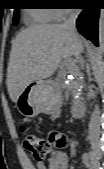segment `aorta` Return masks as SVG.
Segmentation results:
<instances>
[{"label": "aorta", "instance_id": "1", "mask_svg": "<svg viewBox=\"0 0 104 169\" xmlns=\"http://www.w3.org/2000/svg\"><path fill=\"white\" fill-rule=\"evenodd\" d=\"M101 53H102V47H100L98 50V54H101Z\"/></svg>", "mask_w": 104, "mask_h": 169}]
</instances>
